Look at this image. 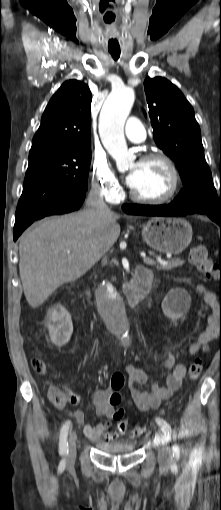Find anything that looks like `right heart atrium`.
<instances>
[{"label":"right heart atrium","mask_w":221,"mask_h":510,"mask_svg":"<svg viewBox=\"0 0 221 510\" xmlns=\"http://www.w3.org/2000/svg\"><path fill=\"white\" fill-rule=\"evenodd\" d=\"M92 188L109 202L115 201L121 191L118 177L103 154H94L91 164Z\"/></svg>","instance_id":"1"}]
</instances>
